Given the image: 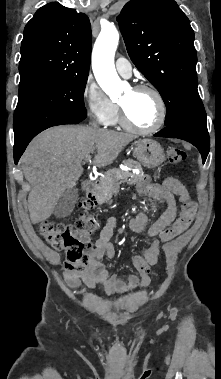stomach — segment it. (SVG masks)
<instances>
[{"mask_svg":"<svg viewBox=\"0 0 221 379\" xmlns=\"http://www.w3.org/2000/svg\"><path fill=\"white\" fill-rule=\"evenodd\" d=\"M134 155L146 167L155 168L165 160L161 145L152 139H140L135 143Z\"/></svg>","mask_w":221,"mask_h":379,"instance_id":"1","label":"stomach"}]
</instances>
